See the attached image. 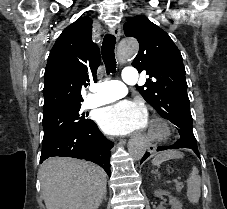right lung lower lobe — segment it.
<instances>
[{
    "label": "right lung lower lobe",
    "mask_w": 227,
    "mask_h": 209,
    "mask_svg": "<svg viewBox=\"0 0 227 209\" xmlns=\"http://www.w3.org/2000/svg\"><path fill=\"white\" fill-rule=\"evenodd\" d=\"M113 143L105 138L91 120L86 126L60 133L42 142L40 163L49 157H73L100 165L111 176L110 149Z\"/></svg>",
    "instance_id": "right-lung-lower-lobe-1"
}]
</instances>
